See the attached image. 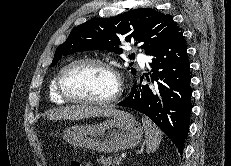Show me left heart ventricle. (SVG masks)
<instances>
[{
	"mask_svg": "<svg viewBox=\"0 0 231 166\" xmlns=\"http://www.w3.org/2000/svg\"><path fill=\"white\" fill-rule=\"evenodd\" d=\"M63 86L73 97L101 100L114 94L116 80L102 66L83 64L74 66L65 73Z\"/></svg>",
	"mask_w": 231,
	"mask_h": 166,
	"instance_id": "b2bd125f",
	"label": "left heart ventricle"
}]
</instances>
